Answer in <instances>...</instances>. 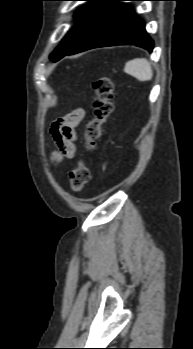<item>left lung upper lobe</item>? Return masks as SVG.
<instances>
[{"label":"left lung upper lobe","instance_id":"left-lung-upper-lobe-1","mask_svg":"<svg viewBox=\"0 0 193 349\" xmlns=\"http://www.w3.org/2000/svg\"><path fill=\"white\" fill-rule=\"evenodd\" d=\"M97 2L89 8L80 9L75 13L79 19L78 24L64 37L60 45L50 54V60H54L62 54L69 51L81 38L90 24L98 17V15L106 8L111 0H85Z\"/></svg>","mask_w":193,"mask_h":349}]
</instances>
